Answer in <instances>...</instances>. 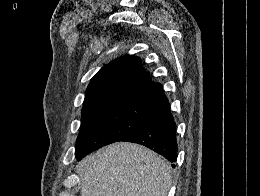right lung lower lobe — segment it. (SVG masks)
Wrapping results in <instances>:
<instances>
[{"label": "right lung lower lobe", "instance_id": "obj_1", "mask_svg": "<svg viewBox=\"0 0 260 196\" xmlns=\"http://www.w3.org/2000/svg\"><path fill=\"white\" fill-rule=\"evenodd\" d=\"M144 109L153 114L155 118L124 136L119 141L133 142L144 145L170 162L177 160L176 124L170 112V104L165 95L149 103ZM95 149H76L77 160ZM175 167V165H172Z\"/></svg>", "mask_w": 260, "mask_h": 196}]
</instances>
